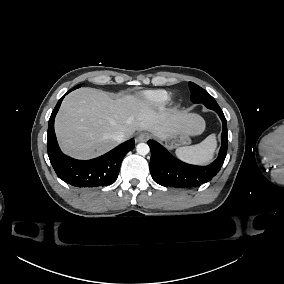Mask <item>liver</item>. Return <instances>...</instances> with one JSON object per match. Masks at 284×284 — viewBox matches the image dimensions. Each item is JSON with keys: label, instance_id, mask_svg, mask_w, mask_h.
<instances>
[{"label": "liver", "instance_id": "1", "mask_svg": "<svg viewBox=\"0 0 284 284\" xmlns=\"http://www.w3.org/2000/svg\"><path fill=\"white\" fill-rule=\"evenodd\" d=\"M177 127L188 135L205 130L204 119L195 113L157 112L135 95L112 99L106 92L80 88L65 97L55 120V132L62 151L79 159L99 156L118 145L114 136L125 140L136 130H147L160 139Z\"/></svg>", "mask_w": 284, "mask_h": 284}]
</instances>
